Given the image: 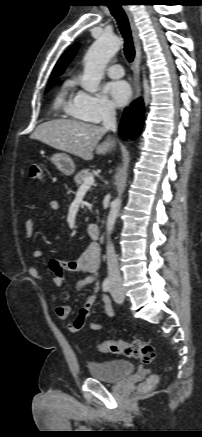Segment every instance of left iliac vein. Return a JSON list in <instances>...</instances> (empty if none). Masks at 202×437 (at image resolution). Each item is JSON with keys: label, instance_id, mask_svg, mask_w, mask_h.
I'll use <instances>...</instances> for the list:
<instances>
[{"label": "left iliac vein", "instance_id": "obj_1", "mask_svg": "<svg viewBox=\"0 0 202 437\" xmlns=\"http://www.w3.org/2000/svg\"><path fill=\"white\" fill-rule=\"evenodd\" d=\"M111 293L117 303H122L124 301V293L121 289L113 288Z\"/></svg>", "mask_w": 202, "mask_h": 437}]
</instances>
